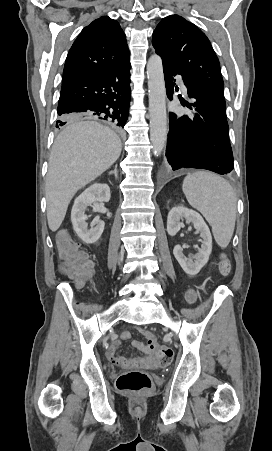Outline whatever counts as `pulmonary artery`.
I'll use <instances>...</instances> for the list:
<instances>
[{
	"label": "pulmonary artery",
	"mask_w": 272,
	"mask_h": 451,
	"mask_svg": "<svg viewBox=\"0 0 272 451\" xmlns=\"http://www.w3.org/2000/svg\"><path fill=\"white\" fill-rule=\"evenodd\" d=\"M179 84H180V86L178 89L181 92L184 100H186V101L191 100L192 95H191L189 89L186 88V86L184 85V83L182 81Z\"/></svg>",
	"instance_id": "obj_1"
}]
</instances>
